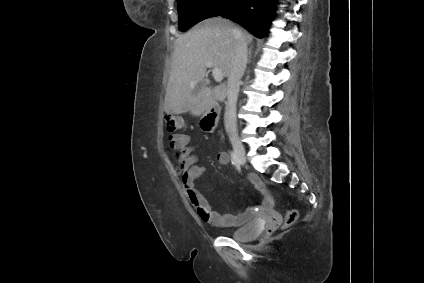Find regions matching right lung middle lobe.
Returning a JSON list of instances; mask_svg holds the SVG:
<instances>
[{
	"mask_svg": "<svg viewBox=\"0 0 424 283\" xmlns=\"http://www.w3.org/2000/svg\"><path fill=\"white\" fill-rule=\"evenodd\" d=\"M235 0H177L180 31L226 12Z\"/></svg>",
	"mask_w": 424,
	"mask_h": 283,
	"instance_id": "right-lung-middle-lobe-1",
	"label": "right lung middle lobe"
}]
</instances>
